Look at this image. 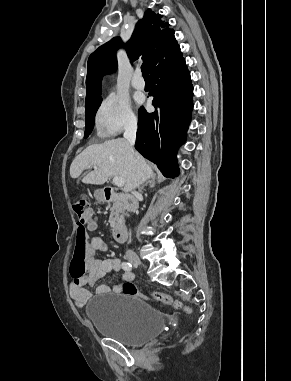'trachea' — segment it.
I'll return each instance as SVG.
<instances>
[{"label": "trachea", "mask_w": 291, "mask_h": 381, "mask_svg": "<svg viewBox=\"0 0 291 381\" xmlns=\"http://www.w3.org/2000/svg\"><path fill=\"white\" fill-rule=\"evenodd\" d=\"M141 71L144 78H149V73H148L146 65L143 64L141 66Z\"/></svg>", "instance_id": "3493384b"}]
</instances>
